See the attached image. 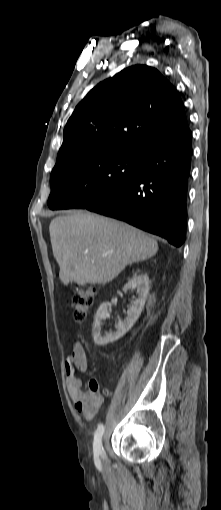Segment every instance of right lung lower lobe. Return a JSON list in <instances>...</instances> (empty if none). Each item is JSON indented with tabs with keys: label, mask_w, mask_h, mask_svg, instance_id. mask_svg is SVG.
<instances>
[{
	"label": "right lung lower lobe",
	"mask_w": 221,
	"mask_h": 510,
	"mask_svg": "<svg viewBox=\"0 0 221 510\" xmlns=\"http://www.w3.org/2000/svg\"><path fill=\"white\" fill-rule=\"evenodd\" d=\"M192 132L146 148L134 177L115 193L85 208L159 235L176 247L186 237V197Z\"/></svg>",
	"instance_id": "obj_1"
}]
</instances>
